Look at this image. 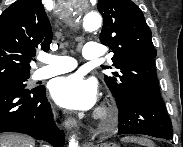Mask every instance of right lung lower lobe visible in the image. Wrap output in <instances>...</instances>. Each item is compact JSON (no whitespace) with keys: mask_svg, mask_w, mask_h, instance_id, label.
<instances>
[{"mask_svg":"<svg viewBox=\"0 0 183 147\" xmlns=\"http://www.w3.org/2000/svg\"><path fill=\"white\" fill-rule=\"evenodd\" d=\"M19 132L54 147H63L64 132L53 120L44 87L31 90L21 86L0 88V133Z\"/></svg>","mask_w":183,"mask_h":147,"instance_id":"obj_1","label":"right lung lower lobe"}]
</instances>
